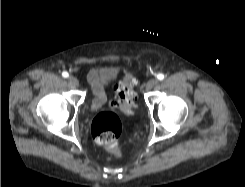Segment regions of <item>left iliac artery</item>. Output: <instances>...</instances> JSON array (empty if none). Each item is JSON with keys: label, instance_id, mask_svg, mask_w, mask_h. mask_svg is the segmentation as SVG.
I'll use <instances>...</instances> for the list:
<instances>
[{"label": "left iliac artery", "instance_id": "1", "mask_svg": "<svg viewBox=\"0 0 245 187\" xmlns=\"http://www.w3.org/2000/svg\"><path fill=\"white\" fill-rule=\"evenodd\" d=\"M157 79H158V80H163V79H164V74L159 73V74L157 75Z\"/></svg>", "mask_w": 245, "mask_h": 187}]
</instances>
